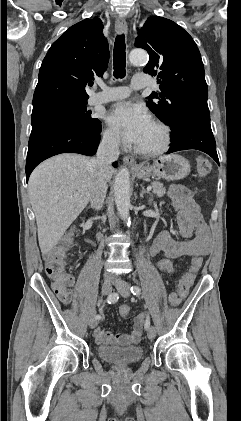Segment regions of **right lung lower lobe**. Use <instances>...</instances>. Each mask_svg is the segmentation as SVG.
I'll return each mask as SVG.
<instances>
[{
  "instance_id": "obj_1",
  "label": "right lung lower lobe",
  "mask_w": 241,
  "mask_h": 421,
  "mask_svg": "<svg viewBox=\"0 0 241 421\" xmlns=\"http://www.w3.org/2000/svg\"><path fill=\"white\" fill-rule=\"evenodd\" d=\"M100 132L101 127L99 132H94L61 120L47 121L32 127L26 161L27 181L39 163L54 155H94L99 145Z\"/></svg>"
}]
</instances>
